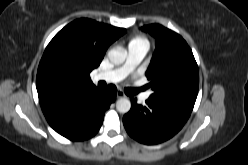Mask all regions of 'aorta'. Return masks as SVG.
I'll return each mask as SVG.
<instances>
[{
    "label": "aorta",
    "instance_id": "obj_1",
    "mask_svg": "<svg viewBox=\"0 0 248 165\" xmlns=\"http://www.w3.org/2000/svg\"><path fill=\"white\" fill-rule=\"evenodd\" d=\"M108 59L110 60L111 63L115 65H120L124 63L126 56L125 54L116 48L111 49L108 52ZM131 108V102L127 98H120L116 102V109L120 113H127L130 111Z\"/></svg>",
    "mask_w": 248,
    "mask_h": 165
}]
</instances>
